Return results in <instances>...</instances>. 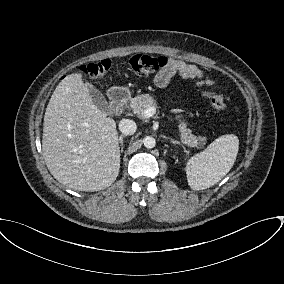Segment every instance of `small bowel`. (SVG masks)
Instances as JSON below:
<instances>
[{"label": "small bowel", "instance_id": "obj_1", "mask_svg": "<svg viewBox=\"0 0 284 284\" xmlns=\"http://www.w3.org/2000/svg\"><path fill=\"white\" fill-rule=\"evenodd\" d=\"M175 75H180L187 79H199L198 86L211 84V82L201 81L203 71L196 65L186 63L182 60L170 58L166 67L162 68L155 76L154 82L158 87H166Z\"/></svg>", "mask_w": 284, "mask_h": 284}]
</instances>
